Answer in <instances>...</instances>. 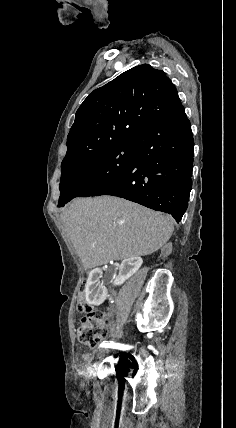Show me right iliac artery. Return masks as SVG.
<instances>
[{
  "label": "right iliac artery",
  "mask_w": 236,
  "mask_h": 428,
  "mask_svg": "<svg viewBox=\"0 0 236 428\" xmlns=\"http://www.w3.org/2000/svg\"><path fill=\"white\" fill-rule=\"evenodd\" d=\"M100 347L113 348V349H119V350H129L133 348L132 346H129V345H124V344L115 343V342H107V341L102 342L100 344Z\"/></svg>",
  "instance_id": "1"
}]
</instances>
